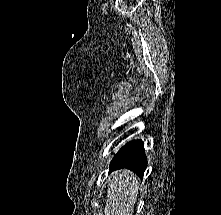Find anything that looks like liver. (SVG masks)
<instances>
[{
	"instance_id": "obj_1",
	"label": "liver",
	"mask_w": 221,
	"mask_h": 215,
	"mask_svg": "<svg viewBox=\"0 0 221 215\" xmlns=\"http://www.w3.org/2000/svg\"><path fill=\"white\" fill-rule=\"evenodd\" d=\"M108 184L105 215H133L138 194L137 178L128 170L114 172Z\"/></svg>"
}]
</instances>
